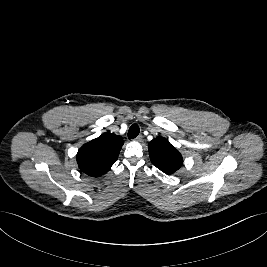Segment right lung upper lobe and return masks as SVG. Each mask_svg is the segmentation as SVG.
<instances>
[{"label":"right lung upper lobe","instance_id":"obj_1","mask_svg":"<svg viewBox=\"0 0 267 267\" xmlns=\"http://www.w3.org/2000/svg\"><path fill=\"white\" fill-rule=\"evenodd\" d=\"M123 144V138L112 133L87 142L76 156L79 169L92 177L105 174L117 160Z\"/></svg>","mask_w":267,"mask_h":267}]
</instances>
